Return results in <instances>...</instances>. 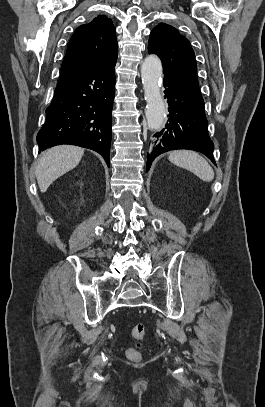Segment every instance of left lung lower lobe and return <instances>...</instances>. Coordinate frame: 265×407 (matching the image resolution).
I'll list each match as a JSON object with an SVG mask.
<instances>
[{"label": "left lung lower lobe", "mask_w": 265, "mask_h": 407, "mask_svg": "<svg viewBox=\"0 0 265 407\" xmlns=\"http://www.w3.org/2000/svg\"><path fill=\"white\" fill-rule=\"evenodd\" d=\"M164 98L169 105V123L156 133L148 153L146 171L161 153L176 149H192L204 153L214 164V144L208 135V122L201 95L179 81L165 76Z\"/></svg>", "instance_id": "1"}]
</instances>
